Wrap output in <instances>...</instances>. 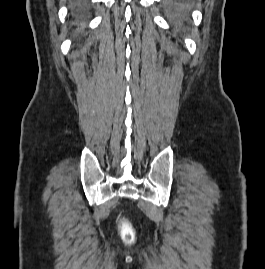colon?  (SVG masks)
Masks as SVG:
<instances>
[{
    "instance_id": "1",
    "label": "colon",
    "mask_w": 265,
    "mask_h": 269,
    "mask_svg": "<svg viewBox=\"0 0 265 269\" xmlns=\"http://www.w3.org/2000/svg\"><path fill=\"white\" fill-rule=\"evenodd\" d=\"M121 227H122V231L124 232L126 239L128 240L131 239L133 235L131 226L126 221H122Z\"/></svg>"
}]
</instances>
